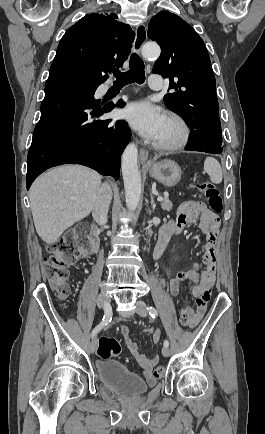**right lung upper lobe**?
<instances>
[{
    "label": "right lung upper lobe",
    "mask_w": 265,
    "mask_h": 434,
    "mask_svg": "<svg viewBox=\"0 0 265 434\" xmlns=\"http://www.w3.org/2000/svg\"><path fill=\"white\" fill-rule=\"evenodd\" d=\"M135 32L115 13H91L62 37L49 77L74 75L106 81L109 70L122 66L130 54Z\"/></svg>",
    "instance_id": "right-lung-upper-lobe-1"
}]
</instances>
